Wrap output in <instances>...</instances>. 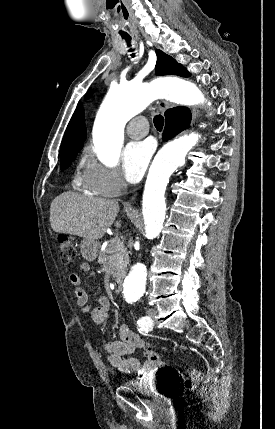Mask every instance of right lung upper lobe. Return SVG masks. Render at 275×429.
<instances>
[{
  "instance_id": "obj_1",
  "label": "right lung upper lobe",
  "mask_w": 275,
  "mask_h": 429,
  "mask_svg": "<svg viewBox=\"0 0 275 429\" xmlns=\"http://www.w3.org/2000/svg\"><path fill=\"white\" fill-rule=\"evenodd\" d=\"M86 138V128L84 123V115L81 106H79L65 131L61 145V158L77 154L83 147V142Z\"/></svg>"
}]
</instances>
